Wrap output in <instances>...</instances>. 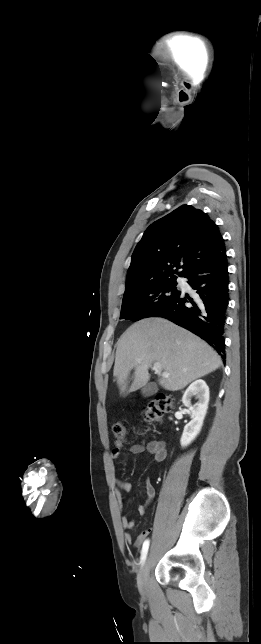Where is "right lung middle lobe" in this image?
<instances>
[{
  "label": "right lung middle lobe",
  "mask_w": 261,
  "mask_h": 644,
  "mask_svg": "<svg viewBox=\"0 0 261 644\" xmlns=\"http://www.w3.org/2000/svg\"><path fill=\"white\" fill-rule=\"evenodd\" d=\"M176 278L144 283L125 290L120 318L138 321L155 316L172 304L181 294Z\"/></svg>",
  "instance_id": "obj_1"
}]
</instances>
